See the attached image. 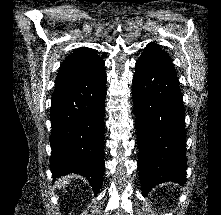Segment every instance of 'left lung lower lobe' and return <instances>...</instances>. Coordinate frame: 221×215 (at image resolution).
Instances as JSON below:
<instances>
[{
    "label": "left lung lower lobe",
    "mask_w": 221,
    "mask_h": 215,
    "mask_svg": "<svg viewBox=\"0 0 221 215\" xmlns=\"http://www.w3.org/2000/svg\"><path fill=\"white\" fill-rule=\"evenodd\" d=\"M132 97L143 196L165 181L185 184L184 107L174 68L139 59Z\"/></svg>",
    "instance_id": "0a47b994"
}]
</instances>
